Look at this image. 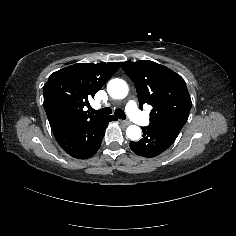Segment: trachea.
I'll list each match as a JSON object with an SVG mask.
<instances>
[{"instance_id":"obj_1","label":"trachea","mask_w":236,"mask_h":236,"mask_svg":"<svg viewBox=\"0 0 236 236\" xmlns=\"http://www.w3.org/2000/svg\"><path fill=\"white\" fill-rule=\"evenodd\" d=\"M92 113L97 115H109L112 113V109L110 107L103 108L101 110H91ZM115 116L119 119H126V115L122 109H116L115 110Z\"/></svg>"}]
</instances>
